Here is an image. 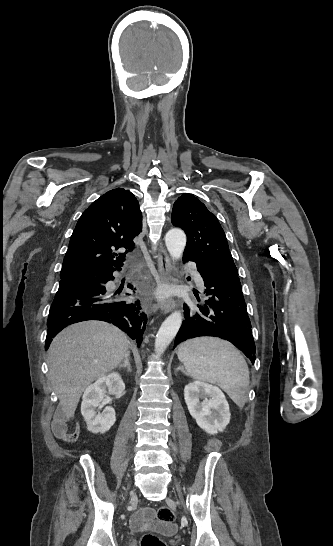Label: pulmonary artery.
Masks as SVG:
<instances>
[{
  "instance_id": "obj_1",
  "label": "pulmonary artery",
  "mask_w": 333,
  "mask_h": 546,
  "mask_svg": "<svg viewBox=\"0 0 333 546\" xmlns=\"http://www.w3.org/2000/svg\"><path fill=\"white\" fill-rule=\"evenodd\" d=\"M195 281L198 285L202 286L203 285V280L201 278V276L199 274H195Z\"/></svg>"
}]
</instances>
